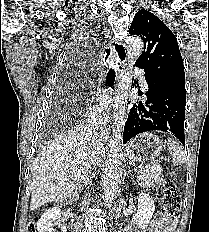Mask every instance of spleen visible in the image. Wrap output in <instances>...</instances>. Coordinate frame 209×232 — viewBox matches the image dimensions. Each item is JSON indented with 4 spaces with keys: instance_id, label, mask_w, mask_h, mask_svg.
<instances>
[{
    "instance_id": "spleen-1",
    "label": "spleen",
    "mask_w": 209,
    "mask_h": 232,
    "mask_svg": "<svg viewBox=\"0 0 209 232\" xmlns=\"http://www.w3.org/2000/svg\"><path fill=\"white\" fill-rule=\"evenodd\" d=\"M167 146H168V150L172 156L173 166L182 165L186 162L185 153L178 142H176L172 138H169Z\"/></svg>"
}]
</instances>
